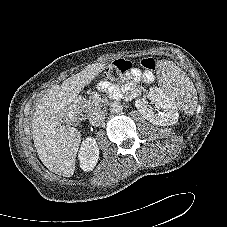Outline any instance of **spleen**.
<instances>
[{"label":"spleen","mask_w":227,"mask_h":227,"mask_svg":"<svg viewBox=\"0 0 227 227\" xmlns=\"http://www.w3.org/2000/svg\"><path fill=\"white\" fill-rule=\"evenodd\" d=\"M158 68V84L160 90L167 95L175 106L186 114L196 110V89L189 77L171 61H160Z\"/></svg>","instance_id":"1"}]
</instances>
